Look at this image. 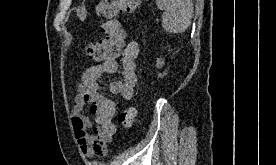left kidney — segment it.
Here are the masks:
<instances>
[{"label": "left kidney", "instance_id": "5707ae66", "mask_svg": "<svg viewBox=\"0 0 276 165\" xmlns=\"http://www.w3.org/2000/svg\"><path fill=\"white\" fill-rule=\"evenodd\" d=\"M164 59L163 58H157V60H156V66L158 67V68H162L163 66H164Z\"/></svg>", "mask_w": 276, "mask_h": 165}]
</instances>
